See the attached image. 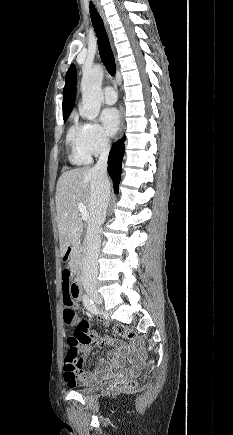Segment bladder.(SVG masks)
<instances>
[{
  "instance_id": "1",
  "label": "bladder",
  "mask_w": 233,
  "mask_h": 435,
  "mask_svg": "<svg viewBox=\"0 0 233 435\" xmlns=\"http://www.w3.org/2000/svg\"><path fill=\"white\" fill-rule=\"evenodd\" d=\"M101 387L102 385L98 384H84L76 388L75 391L81 394H89L99 391Z\"/></svg>"
}]
</instances>
